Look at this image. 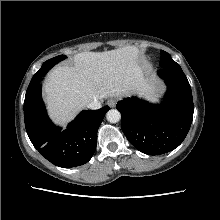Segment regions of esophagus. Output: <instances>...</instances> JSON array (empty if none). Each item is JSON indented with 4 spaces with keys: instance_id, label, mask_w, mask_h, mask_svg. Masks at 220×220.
<instances>
[{
    "instance_id": "34e87169",
    "label": "esophagus",
    "mask_w": 220,
    "mask_h": 220,
    "mask_svg": "<svg viewBox=\"0 0 220 220\" xmlns=\"http://www.w3.org/2000/svg\"><path fill=\"white\" fill-rule=\"evenodd\" d=\"M117 102H118V99L113 97V98L108 99L107 104L113 108L116 106Z\"/></svg>"
}]
</instances>
